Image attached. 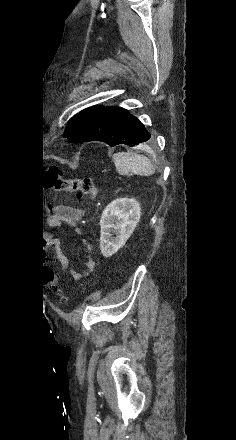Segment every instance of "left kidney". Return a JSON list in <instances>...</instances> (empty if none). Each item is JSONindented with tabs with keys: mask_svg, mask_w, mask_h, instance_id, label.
<instances>
[{
	"mask_svg": "<svg viewBox=\"0 0 236 440\" xmlns=\"http://www.w3.org/2000/svg\"><path fill=\"white\" fill-rule=\"evenodd\" d=\"M140 216V204L130 198L116 199L104 209L100 219V250L104 257H111L125 245Z\"/></svg>",
	"mask_w": 236,
	"mask_h": 440,
	"instance_id": "obj_1",
	"label": "left kidney"
}]
</instances>
